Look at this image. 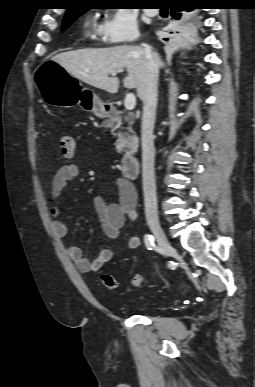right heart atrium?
I'll list each match as a JSON object with an SVG mask.
<instances>
[{
    "instance_id": "1",
    "label": "right heart atrium",
    "mask_w": 255,
    "mask_h": 387,
    "mask_svg": "<svg viewBox=\"0 0 255 387\" xmlns=\"http://www.w3.org/2000/svg\"><path fill=\"white\" fill-rule=\"evenodd\" d=\"M99 35L108 45L134 42L140 36L136 17L128 9H115L99 27Z\"/></svg>"
}]
</instances>
